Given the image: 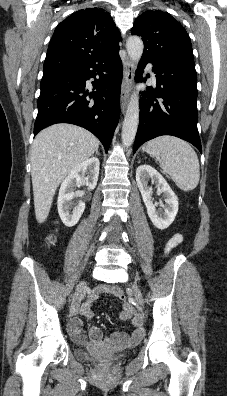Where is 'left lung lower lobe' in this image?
Returning a JSON list of instances; mask_svg holds the SVG:
<instances>
[{"label": "left lung lower lobe", "instance_id": "0a47b994", "mask_svg": "<svg viewBox=\"0 0 227 396\" xmlns=\"http://www.w3.org/2000/svg\"><path fill=\"white\" fill-rule=\"evenodd\" d=\"M152 63L156 86L147 87L140 98L139 126L133 153L146 141L172 135L193 144L201 152L197 129L196 71L143 57L138 66V80L145 81L142 69Z\"/></svg>", "mask_w": 227, "mask_h": 396}]
</instances>
